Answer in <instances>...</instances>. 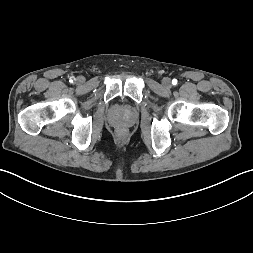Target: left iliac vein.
I'll return each mask as SVG.
<instances>
[{"label":"left iliac vein","mask_w":253,"mask_h":253,"mask_svg":"<svg viewBox=\"0 0 253 253\" xmlns=\"http://www.w3.org/2000/svg\"><path fill=\"white\" fill-rule=\"evenodd\" d=\"M162 84L164 85V87L166 88H170L172 86V82L169 78H163L162 80Z\"/></svg>","instance_id":"1"}]
</instances>
